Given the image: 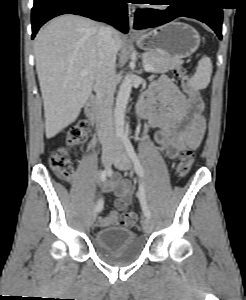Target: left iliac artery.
<instances>
[{
    "mask_svg": "<svg viewBox=\"0 0 246 300\" xmlns=\"http://www.w3.org/2000/svg\"><path fill=\"white\" fill-rule=\"evenodd\" d=\"M123 143H124V147L129 155V157L131 158L133 164H134V169L135 172L139 175L140 177V185H139V191H138V198L142 207V211L144 213V215L147 218L151 217V212L148 208L147 205V200H146V190H145V183H144V169L143 166L141 165L137 154L134 150V147L132 146L130 140L128 138H124L123 139Z\"/></svg>",
    "mask_w": 246,
    "mask_h": 300,
    "instance_id": "left-iliac-artery-1",
    "label": "left iliac artery"
}]
</instances>
